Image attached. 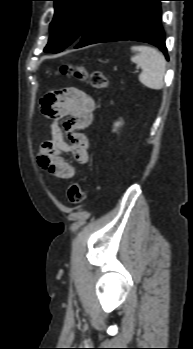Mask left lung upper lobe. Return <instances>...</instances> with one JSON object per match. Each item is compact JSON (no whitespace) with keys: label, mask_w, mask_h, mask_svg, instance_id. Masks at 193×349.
Returning <instances> with one entry per match:
<instances>
[{"label":"left lung upper lobe","mask_w":193,"mask_h":349,"mask_svg":"<svg viewBox=\"0 0 193 349\" xmlns=\"http://www.w3.org/2000/svg\"><path fill=\"white\" fill-rule=\"evenodd\" d=\"M55 14L50 24L46 52L57 53L80 38L108 0H52Z\"/></svg>","instance_id":"left-lung-upper-lobe-1"}]
</instances>
